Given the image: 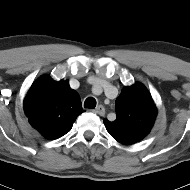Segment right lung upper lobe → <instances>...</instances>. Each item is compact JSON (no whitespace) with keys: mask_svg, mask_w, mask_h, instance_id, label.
<instances>
[{"mask_svg":"<svg viewBox=\"0 0 190 190\" xmlns=\"http://www.w3.org/2000/svg\"><path fill=\"white\" fill-rule=\"evenodd\" d=\"M30 124L45 138L57 139L68 133L78 115L84 112L80 96L69 81H54L50 76L37 79L24 100Z\"/></svg>","mask_w":190,"mask_h":190,"instance_id":"1","label":"right lung upper lobe"}]
</instances>
